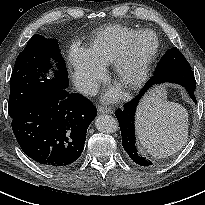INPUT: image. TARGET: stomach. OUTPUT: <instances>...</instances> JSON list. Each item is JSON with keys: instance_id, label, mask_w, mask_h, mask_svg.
Segmentation results:
<instances>
[{"instance_id": "obj_1", "label": "stomach", "mask_w": 205, "mask_h": 205, "mask_svg": "<svg viewBox=\"0 0 205 205\" xmlns=\"http://www.w3.org/2000/svg\"><path fill=\"white\" fill-rule=\"evenodd\" d=\"M162 95H163L162 92L158 90V91L152 92L148 96H146L144 101L149 100L150 98H155V97H159Z\"/></svg>"}]
</instances>
